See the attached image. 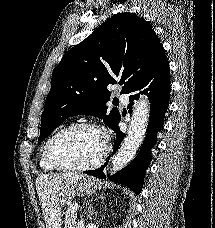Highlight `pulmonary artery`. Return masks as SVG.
I'll return each mask as SVG.
<instances>
[{
	"mask_svg": "<svg viewBox=\"0 0 215 228\" xmlns=\"http://www.w3.org/2000/svg\"><path fill=\"white\" fill-rule=\"evenodd\" d=\"M117 89H122V84L116 85ZM113 94L119 95V92L116 89H113ZM118 102H131V97H128L127 95H122L121 97H118ZM124 109H127V106H124Z\"/></svg>",
	"mask_w": 215,
	"mask_h": 228,
	"instance_id": "pulmonary-artery-1",
	"label": "pulmonary artery"
}]
</instances>
